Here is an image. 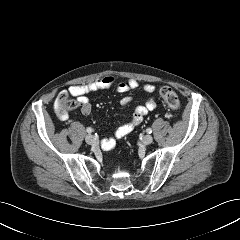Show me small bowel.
<instances>
[{
    "label": "small bowel",
    "instance_id": "small-bowel-1",
    "mask_svg": "<svg viewBox=\"0 0 240 240\" xmlns=\"http://www.w3.org/2000/svg\"><path fill=\"white\" fill-rule=\"evenodd\" d=\"M109 88H115L118 92L125 93L137 89L138 82L134 79H130L126 82H117L116 78L113 76H104L86 84L70 86L66 92L62 93V95L69 93L73 96H76L78 98L81 113L83 115H89L91 113L92 106L87 95L92 92ZM143 90L147 95H151L155 92V87L151 84H146ZM131 101L132 98L126 96L121 100V105L126 106L130 104ZM155 106H156L155 99L153 97L148 98L144 105L138 106L134 110L130 121L119 126L115 130L113 135H111L108 139L103 141L102 143L103 147L106 149L112 148L117 139L123 138L124 136L131 133L134 130V128L138 127L142 123L144 116L149 111L153 110ZM56 111L59 115L65 118V115H62L60 112L58 102L56 103Z\"/></svg>",
    "mask_w": 240,
    "mask_h": 240
}]
</instances>
